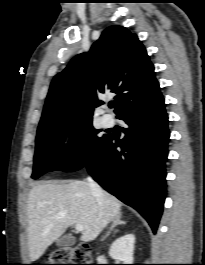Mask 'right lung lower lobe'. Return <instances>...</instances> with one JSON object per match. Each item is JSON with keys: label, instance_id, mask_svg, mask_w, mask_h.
Returning a JSON list of instances; mask_svg holds the SVG:
<instances>
[{"label": "right lung lower lobe", "instance_id": "1", "mask_svg": "<svg viewBox=\"0 0 205 265\" xmlns=\"http://www.w3.org/2000/svg\"><path fill=\"white\" fill-rule=\"evenodd\" d=\"M117 118L126 123L121 128L125 137L118 140L109 134L86 168L105 190L135 208L155 233L165 199L169 140L168 116L161 92Z\"/></svg>", "mask_w": 205, "mask_h": 265}]
</instances>
